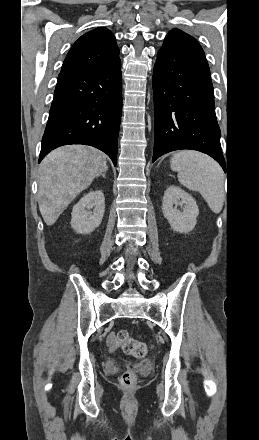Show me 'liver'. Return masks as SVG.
<instances>
[{"mask_svg": "<svg viewBox=\"0 0 259 440\" xmlns=\"http://www.w3.org/2000/svg\"><path fill=\"white\" fill-rule=\"evenodd\" d=\"M107 171L106 155L90 146L66 145L42 161L38 204L45 223L53 225L76 196Z\"/></svg>", "mask_w": 259, "mask_h": 440, "instance_id": "liver-1", "label": "liver"}]
</instances>
